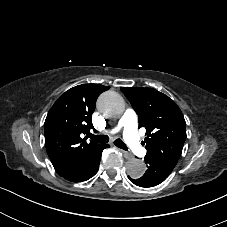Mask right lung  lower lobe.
<instances>
[{
  "label": "right lung lower lobe",
  "mask_w": 227,
  "mask_h": 227,
  "mask_svg": "<svg viewBox=\"0 0 227 227\" xmlns=\"http://www.w3.org/2000/svg\"><path fill=\"white\" fill-rule=\"evenodd\" d=\"M107 147H109L108 144L100 145L98 148L90 151L85 157L82 165L74 171H64L62 169L55 170L60 176L68 179L69 181H86L97 173L102 151Z\"/></svg>",
  "instance_id": "right-lung-lower-lobe-1"
}]
</instances>
